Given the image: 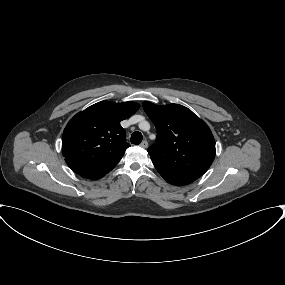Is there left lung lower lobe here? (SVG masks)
Instances as JSON below:
<instances>
[{
	"label": "left lung lower lobe",
	"mask_w": 285,
	"mask_h": 285,
	"mask_svg": "<svg viewBox=\"0 0 285 285\" xmlns=\"http://www.w3.org/2000/svg\"><path fill=\"white\" fill-rule=\"evenodd\" d=\"M159 174L170 184L182 186L187 185L198 179L199 177L189 175L180 171L165 169L159 165L154 164Z\"/></svg>",
	"instance_id": "0a47b994"
}]
</instances>
